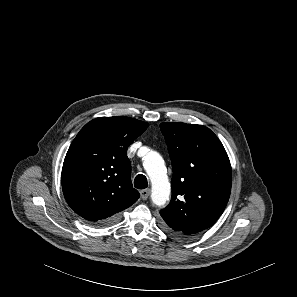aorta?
I'll return each mask as SVG.
<instances>
[{
    "instance_id": "1",
    "label": "aorta",
    "mask_w": 297,
    "mask_h": 297,
    "mask_svg": "<svg viewBox=\"0 0 297 297\" xmlns=\"http://www.w3.org/2000/svg\"><path fill=\"white\" fill-rule=\"evenodd\" d=\"M143 166L152 184V202L157 206H163L170 195L164 160L159 153L151 151L144 157Z\"/></svg>"
}]
</instances>
